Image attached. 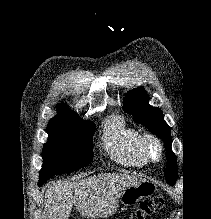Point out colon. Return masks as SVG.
I'll return each instance as SVG.
<instances>
[{
  "label": "colon",
  "instance_id": "5ec220e1",
  "mask_svg": "<svg viewBox=\"0 0 211 219\" xmlns=\"http://www.w3.org/2000/svg\"><path fill=\"white\" fill-rule=\"evenodd\" d=\"M164 205L165 200L162 197H155L149 201L142 202L130 219H145L147 216L162 209Z\"/></svg>",
  "mask_w": 211,
  "mask_h": 219
}]
</instances>
